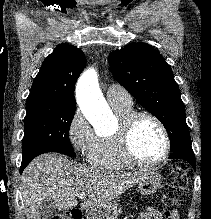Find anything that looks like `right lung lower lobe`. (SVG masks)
Listing matches in <instances>:
<instances>
[{
	"mask_svg": "<svg viewBox=\"0 0 211 219\" xmlns=\"http://www.w3.org/2000/svg\"><path fill=\"white\" fill-rule=\"evenodd\" d=\"M32 159H33V158L27 159V160H22V164H21V167H20V174L23 172V170L25 169V167L29 164V162H30Z\"/></svg>",
	"mask_w": 211,
	"mask_h": 219,
	"instance_id": "right-lung-lower-lobe-1",
	"label": "right lung lower lobe"
}]
</instances>
